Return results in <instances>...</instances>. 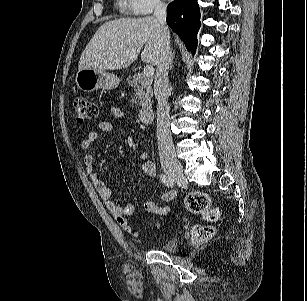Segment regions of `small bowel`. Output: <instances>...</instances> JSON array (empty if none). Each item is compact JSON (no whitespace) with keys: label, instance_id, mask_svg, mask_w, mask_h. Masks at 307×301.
I'll return each mask as SVG.
<instances>
[{"label":"small bowel","instance_id":"1","mask_svg":"<svg viewBox=\"0 0 307 301\" xmlns=\"http://www.w3.org/2000/svg\"><path fill=\"white\" fill-rule=\"evenodd\" d=\"M112 112L114 116L122 118L125 117V112L119 108H113ZM113 131V125L110 121H100L97 126V130H91L87 133L85 138L81 141V148L84 151H90L94 142L99 135H109ZM143 160L142 171L149 176H155V167L149 160L148 152H144L141 155ZM84 165L86 172L90 177L95 189L99 193L100 197L104 201L108 211L113 215L120 228L135 236L138 232L131 226L128 217L133 216L136 212L135 205L131 202L126 203L124 206L118 205L111 198V190L107 184L101 179L99 174L95 170L94 158L90 153L84 156ZM176 198V193L172 190H166L161 194V199L164 202H172ZM145 210L155 216H168L173 214L170 208H160L155 203L148 199L144 202Z\"/></svg>","mask_w":307,"mask_h":301}]
</instances>
